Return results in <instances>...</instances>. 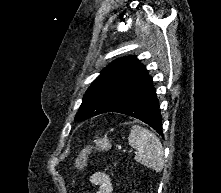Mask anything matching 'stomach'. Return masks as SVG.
Wrapping results in <instances>:
<instances>
[{"instance_id":"obj_1","label":"stomach","mask_w":221,"mask_h":193,"mask_svg":"<svg viewBox=\"0 0 221 193\" xmlns=\"http://www.w3.org/2000/svg\"><path fill=\"white\" fill-rule=\"evenodd\" d=\"M94 142L99 150H108L111 147V143L107 138L98 139Z\"/></svg>"}]
</instances>
